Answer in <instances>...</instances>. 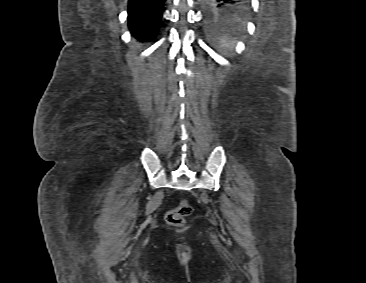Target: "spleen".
<instances>
[{
  "mask_svg": "<svg viewBox=\"0 0 366 283\" xmlns=\"http://www.w3.org/2000/svg\"><path fill=\"white\" fill-rule=\"evenodd\" d=\"M220 48L222 50H232L234 48V42L229 41L226 37L222 38L220 41Z\"/></svg>",
  "mask_w": 366,
  "mask_h": 283,
  "instance_id": "1",
  "label": "spleen"
}]
</instances>
